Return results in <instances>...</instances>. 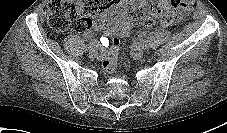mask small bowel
I'll use <instances>...</instances> for the list:
<instances>
[{
	"instance_id": "c3829d8e",
	"label": "small bowel",
	"mask_w": 227,
	"mask_h": 133,
	"mask_svg": "<svg viewBox=\"0 0 227 133\" xmlns=\"http://www.w3.org/2000/svg\"><path fill=\"white\" fill-rule=\"evenodd\" d=\"M152 2L158 3L160 6L168 9L169 5L167 0H151ZM139 4L145 8L144 0H119L118 8L110 14L108 17L101 18L94 24V29L104 30L108 36L124 37L126 36L131 28V18L128 12L129 6L132 4ZM179 22V18L174 16L171 12L166 13V17L160 20L163 26H172ZM151 23L150 25L154 24ZM92 31L87 30L83 33V37L86 40L92 39ZM100 58H104L101 54Z\"/></svg>"
}]
</instances>
